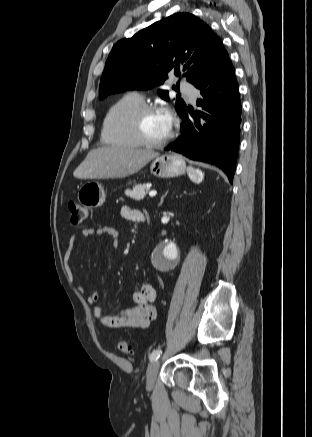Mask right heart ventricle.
Returning <instances> with one entry per match:
<instances>
[{"instance_id": "obj_1", "label": "right heart ventricle", "mask_w": 312, "mask_h": 437, "mask_svg": "<svg viewBox=\"0 0 312 437\" xmlns=\"http://www.w3.org/2000/svg\"><path fill=\"white\" fill-rule=\"evenodd\" d=\"M143 104L136 94H127L113 103L102 123L101 138L108 145L136 148L140 143L131 128L133 112Z\"/></svg>"}]
</instances>
